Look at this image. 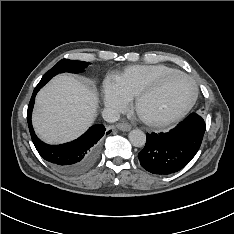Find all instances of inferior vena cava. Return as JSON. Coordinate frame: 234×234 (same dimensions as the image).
<instances>
[{
    "instance_id": "602c4592",
    "label": "inferior vena cava",
    "mask_w": 234,
    "mask_h": 234,
    "mask_svg": "<svg viewBox=\"0 0 234 234\" xmlns=\"http://www.w3.org/2000/svg\"><path fill=\"white\" fill-rule=\"evenodd\" d=\"M105 121L113 123L120 119V114L117 110L112 108H105L102 112Z\"/></svg>"
}]
</instances>
